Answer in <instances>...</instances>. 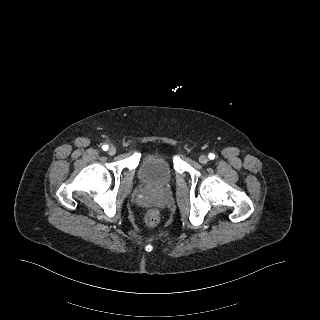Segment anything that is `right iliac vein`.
<instances>
[{"label":"right iliac vein","mask_w":320,"mask_h":320,"mask_svg":"<svg viewBox=\"0 0 320 320\" xmlns=\"http://www.w3.org/2000/svg\"><path fill=\"white\" fill-rule=\"evenodd\" d=\"M116 153V149H115V147H110L109 149H108V154L109 155H114Z\"/></svg>","instance_id":"obj_1"}]
</instances>
